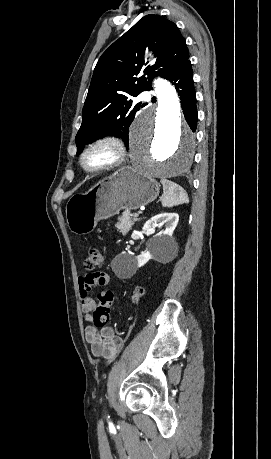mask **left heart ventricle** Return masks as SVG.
Wrapping results in <instances>:
<instances>
[{
	"label": "left heart ventricle",
	"instance_id": "b2bd125f",
	"mask_svg": "<svg viewBox=\"0 0 271 459\" xmlns=\"http://www.w3.org/2000/svg\"><path fill=\"white\" fill-rule=\"evenodd\" d=\"M114 154V148L109 143H100L94 146L85 157V165L88 168L95 167L110 158Z\"/></svg>",
	"mask_w": 271,
	"mask_h": 459
}]
</instances>
